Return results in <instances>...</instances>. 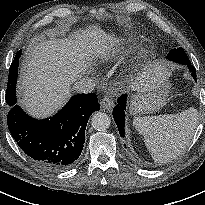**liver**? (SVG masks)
Listing matches in <instances>:
<instances>
[{
    "label": "liver",
    "mask_w": 205,
    "mask_h": 205,
    "mask_svg": "<svg viewBox=\"0 0 205 205\" xmlns=\"http://www.w3.org/2000/svg\"><path fill=\"white\" fill-rule=\"evenodd\" d=\"M112 38L96 27L69 38L43 40L26 53L20 68L19 104L28 114L45 118L65 104L71 84L85 73L94 57L105 56ZM168 76L159 64L146 67L132 82L134 91L151 89Z\"/></svg>",
    "instance_id": "6515ba94"
}]
</instances>
